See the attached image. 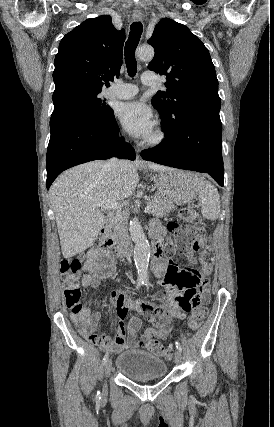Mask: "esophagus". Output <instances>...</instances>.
<instances>
[{"mask_svg":"<svg viewBox=\"0 0 274 427\" xmlns=\"http://www.w3.org/2000/svg\"><path fill=\"white\" fill-rule=\"evenodd\" d=\"M133 18H134V20H136V21H141V20H142V15H133ZM146 163H147V162H145L144 160H142V159L140 158V156H139V155H137V157H136V164H137V165H139V166H141V167H145V166H146Z\"/></svg>","mask_w":274,"mask_h":427,"instance_id":"34e87169","label":"esophagus"}]
</instances>
